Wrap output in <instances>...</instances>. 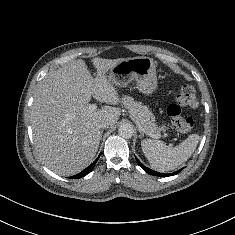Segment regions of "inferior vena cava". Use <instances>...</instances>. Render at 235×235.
Returning a JSON list of instances; mask_svg holds the SVG:
<instances>
[{"instance_id":"602c4592","label":"inferior vena cava","mask_w":235,"mask_h":235,"mask_svg":"<svg viewBox=\"0 0 235 235\" xmlns=\"http://www.w3.org/2000/svg\"><path fill=\"white\" fill-rule=\"evenodd\" d=\"M109 125H110V124H109L108 121H103V122H101V123L99 124V128H102V129L108 128Z\"/></svg>"}]
</instances>
